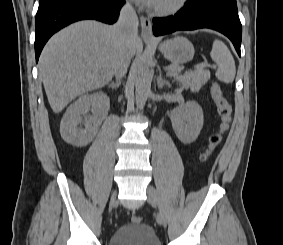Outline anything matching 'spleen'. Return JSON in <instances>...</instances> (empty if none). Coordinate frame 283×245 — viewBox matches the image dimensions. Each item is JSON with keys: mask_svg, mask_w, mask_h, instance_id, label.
<instances>
[{"mask_svg": "<svg viewBox=\"0 0 283 245\" xmlns=\"http://www.w3.org/2000/svg\"><path fill=\"white\" fill-rule=\"evenodd\" d=\"M212 60L217 64L216 77L224 83H232L236 74L235 61L228 47L220 40H215L210 52Z\"/></svg>", "mask_w": 283, "mask_h": 245, "instance_id": "spleen-1", "label": "spleen"}]
</instances>
